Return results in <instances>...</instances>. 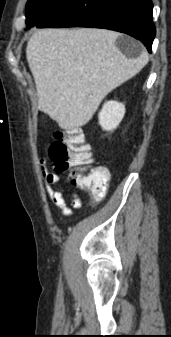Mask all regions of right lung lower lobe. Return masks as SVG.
<instances>
[{
  "label": "right lung lower lobe",
  "mask_w": 171,
  "mask_h": 337,
  "mask_svg": "<svg viewBox=\"0 0 171 337\" xmlns=\"http://www.w3.org/2000/svg\"><path fill=\"white\" fill-rule=\"evenodd\" d=\"M152 10V0H68L36 27H96L115 30L142 41L151 52L156 34Z\"/></svg>",
  "instance_id": "obj_1"
}]
</instances>
